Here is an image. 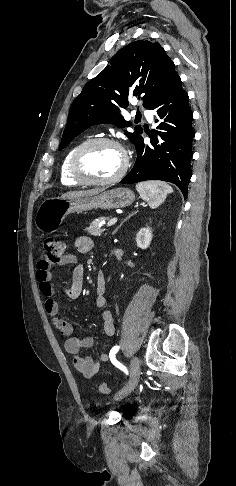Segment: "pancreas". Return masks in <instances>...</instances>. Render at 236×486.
<instances>
[{"instance_id":"pancreas-1","label":"pancreas","mask_w":236,"mask_h":486,"mask_svg":"<svg viewBox=\"0 0 236 486\" xmlns=\"http://www.w3.org/2000/svg\"><path fill=\"white\" fill-rule=\"evenodd\" d=\"M105 219H109V218L99 217V218L95 219L90 224V226L88 228H86L87 233L92 235V236H100L104 232V228H100L99 224Z\"/></svg>"}]
</instances>
